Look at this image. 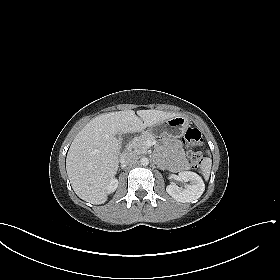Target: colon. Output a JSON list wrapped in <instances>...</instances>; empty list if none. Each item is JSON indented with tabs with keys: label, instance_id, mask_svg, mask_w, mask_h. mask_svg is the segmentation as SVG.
I'll return each instance as SVG.
<instances>
[{
	"label": "colon",
	"instance_id": "colon-1",
	"mask_svg": "<svg viewBox=\"0 0 280 280\" xmlns=\"http://www.w3.org/2000/svg\"><path fill=\"white\" fill-rule=\"evenodd\" d=\"M184 142L191 148L188 150V158L192 166L201 169L203 164V156L199 151L194 150L195 147L202 146V135L197 128H188L184 135Z\"/></svg>",
	"mask_w": 280,
	"mask_h": 280
}]
</instances>
